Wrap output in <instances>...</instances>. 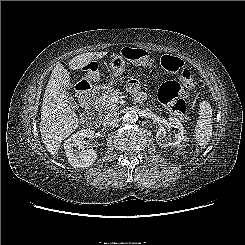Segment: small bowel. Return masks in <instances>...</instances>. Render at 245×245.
<instances>
[{"label":"small bowel","mask_w":245,"mask_h":245,"mask_svg":"<svg viewBox=\"0 0 245 245\" xmlns=\"http://www.w3.org/2000/svg\"><path fill=\"white\" fill-rule=\"evenodd\" d=\"M128 90L135 96V100L138 102L146 98L145 93L140 91V84L136 79H130L128 81Z\"/></svg>","instance_id":"obj_1"}]
</instances>
